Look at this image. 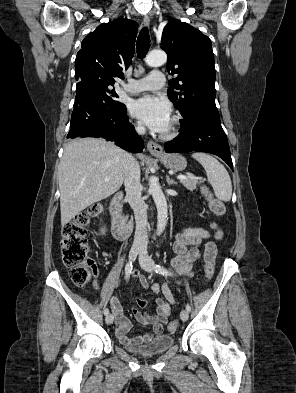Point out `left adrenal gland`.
<instances>
[{
    "instance_id": "1",
    "label": "left adrenal gland",
    "mask_w": 296,
    "mask_h": 393,
    "mask_svg": "<svg viewBox=\"0 0 296 393\" xmlns=\"http://www.w3.org/2000/svg\"><path fill=\"white\" fill-rule=\"evenodd\" d=\"M166 181L168 185H177V182L174 181L173 179H170L169 175H166Z\"/></svg>"
}]
</instances>
